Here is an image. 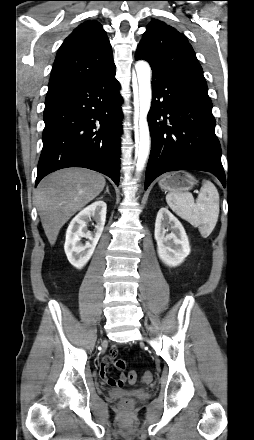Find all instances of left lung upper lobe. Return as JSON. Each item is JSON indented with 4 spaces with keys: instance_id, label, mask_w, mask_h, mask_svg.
Returning a JSON list of instances; mask_svg holds the SVG:
<instances>
[{
    "instance_id": "1",
    "label": "left lung upper lobe",
    "mask_w": 254,
    "mask_h": 440,
    "mask_svg": "<svg viewBox=\"0 0 254 440\" xmlns=\"http://www.w3.org/2000/svg\"><path fill=\"white\" fill-rule=\"evenodd\" d=\"M135 59H144L207 93L202 67L186 37L175 28L152 19Z\"/></svg>"
}]
</instances>
